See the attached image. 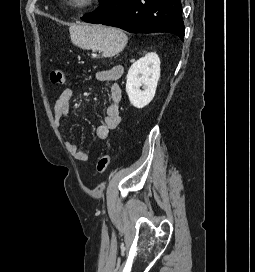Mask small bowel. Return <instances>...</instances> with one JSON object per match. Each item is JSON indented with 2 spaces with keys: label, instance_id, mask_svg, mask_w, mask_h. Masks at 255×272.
Masks as SVG:
<instances>
[{
  "label": "small bowel",
  "instance_id": "small-bowel-1",
  "mask_svg": "<svg viewBox=\"0 0 255 272\" xmlns=\"http://www.w3.org/2000/svg\"><path fill=\"white\" fill-rule=\"evenodd\" d=\"M123 71L122 67L116 66L109 70L99 71L95 75L98 81L111 83L110 100L106 107L104 122L96 129V135L100 139L109 138L111 132L115 130L121 122L120 103L122 100V91L117 81L123 75ZM73 96L74 90L66 88L57 98L53 110L54 121L57 127H61L67 119ZM68 150L79 162H87L89 160V154L79 149L74 143L68 144Z\"/></svg>",
  "mask_w": 255,
  "mask_h": 272
}]
</instances>
